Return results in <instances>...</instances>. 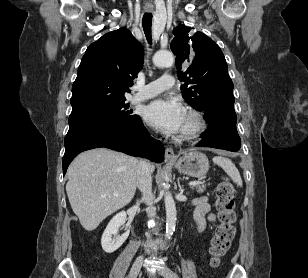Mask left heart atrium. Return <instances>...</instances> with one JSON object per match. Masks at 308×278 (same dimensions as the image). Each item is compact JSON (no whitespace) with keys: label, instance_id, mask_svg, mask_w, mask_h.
<instances>
[{"label":"left heart atrium","instance_id":"1","mask_svg":"<svg viewBox=\"0 0 308 278\" xmlns=\"http://www.w3.org/2000/svg\"><path fill=\"white\" fill-rule=\"evenodd\" d=\"M146 120L166 133H176L181 130L185 109L173 98L158 99L151 102L145 109Z\"/></svg>","mask_w":308,"mask_h":278}]
</instances>
